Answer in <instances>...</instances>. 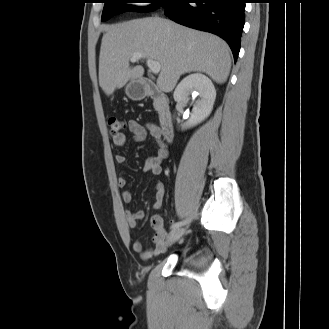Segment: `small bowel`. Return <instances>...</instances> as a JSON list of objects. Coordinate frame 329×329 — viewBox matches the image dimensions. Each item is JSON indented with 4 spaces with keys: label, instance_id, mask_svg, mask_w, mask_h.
Wrapping results in <instances>:
<instances>
[{
    "label": "small bowel",
    "instance_id": "small-bowel-1",
    "mask_svg": "<svg viewBox=\"0 0 329 329\" xmlns=\"http://www.w3.org/2000/svg\"><path fill=\"white\" fill-rule=\"evenodd\" d=\"M128 129L132 134L131 139L133 141H142L149 134L153 139H155L159 145L157 153L153 156L147 158L143 165V171L153 175H159L162 172V161L168 155V149L166 144L163 142L161 137L160 127L152 122L141 123L137 120L131 119L128 122ZM112 141L114 145L118 147H123L127 141L128 137L126 134H121L118 136H113ZM127 160L125 154H117L116 161L119 164H124ZM117 183L120 187L126 186V179L122 176L118 177ZM164 197V184L158 182L156 184L155 201L153 207L158 209L161 207ZM121 198L124 203L128 204L132 201V193L129 190H123L121 193ZM144 218V212L142 210H132L125 212V220L130 228L136 227L138 221ZM151 226L154 231L152 237V242L154 248H144L140 241H135L133 243V250L140 254L143 260L152 259L154 256L164 253L168 248V232L164 226L163 218L154 214L151 217Z\"/></svg>",
    "mask_w": 329,
    "mask_h": 329
}]
</instances>
